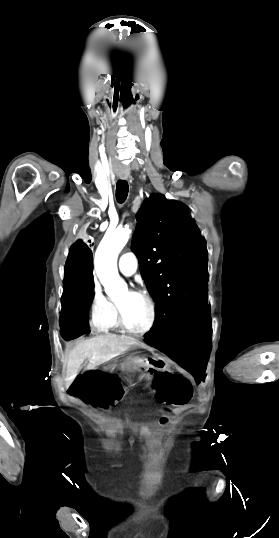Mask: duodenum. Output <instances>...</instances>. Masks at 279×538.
Wrapping results in <instances>:
<instances>
[{"label":"duodenum","instance_id":"obj_1","mask_svg":"<svg viewBox=\"0 0 279 538\" xmlns=\"http://www.w3.org/2000/svg\"><path fill=\"white\" fill-rule=\"evenodd\" d=\"M142 369H148V366H142ZM153 376H156V373H153Z\"/></svg>","mask_w":279,"mask_h":538}]
</instances>
